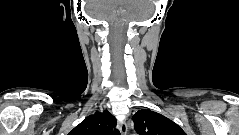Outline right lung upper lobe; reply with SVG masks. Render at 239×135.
I'll return each instance as SVG.
<instances>
[{
	"label": "right lung upper lobe",
	"mask_w": 239,
	"mask_h": 135,
	"mask_svg": "<svg viewBox=\"0 0 239 135\" xmlns=\"http://www.w3.org/2000/svg\"><path fill=\"white\" fill-rule=\"evenodd\" d=\"M115 126V117L104 110L85 118L68 135H111Z\"/></svg>",
	"instance_id": "obj_1"
}]
</instances>
